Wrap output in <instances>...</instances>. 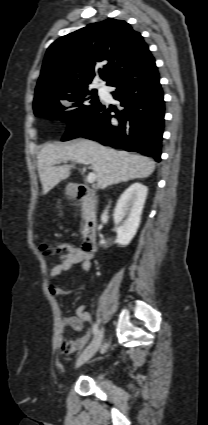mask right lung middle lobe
<instances>
[{"label":"right lung middle lobe","instance_id":"1","mask_svg":"<svg viewBox=\"0 0 208 425\" xmlns=\"http://www.w3.org/2000/svg\"><path fill=\"white\" fill-rule=\"evenodd\" d=\"M96 90L88 91L82 89L71 93L50 94L37 100L33 104L34 113L36 116H44L49 118H60L64 121L86 114L96 108L101 103L96 95ZM92 95V97L88 96ZM62 102L70 103L69 107L62 105ZM76 107L71 112H66V109Z\"/></svg>","mask_w":208,"mask_h":425}]
</instances>
